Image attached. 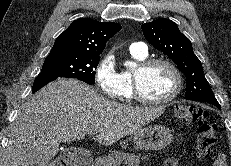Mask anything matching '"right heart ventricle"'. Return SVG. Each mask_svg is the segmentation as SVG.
I'll return each instance as SVG.
<instances>
[{"instance_id":"right-heart-ventricle-1","label":"right heart ventricle","mask_w":231,"mask_h":166,"mask_svg":"<svg viewBox=\"0 0 231 166\" xmlns=\"http://www.w3.org/2000/svg\"><path fill=\"white\" fill-rule=\"evenodd\" d=\"M130 54L134 60L141 62L147 58V55H140L130 51ZM122 82L124 86V97L128 99L133 98V88H132V73L129 71H123L121 73Z\"/></svg>"}]
</instances>
